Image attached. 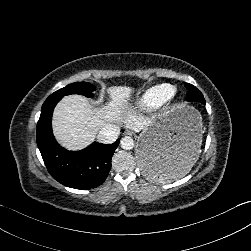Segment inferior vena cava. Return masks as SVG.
<instances>
[{"instance_id":"inferior-vena-cava-1","label":"inferior vena cava","mask_w":251,"mask_h":251,"mask_svg":"<svg viewBox=\"0 0 251 251\" xmlns=\"http://www.w3.org/2000/svg\"><path fill=\"white\" fill-rule=\"evenodd\" d=\"M120 134V127L115 124L105 125L98 133V140L105 144L113 143Z\"/></svg>"}]
</instances>
